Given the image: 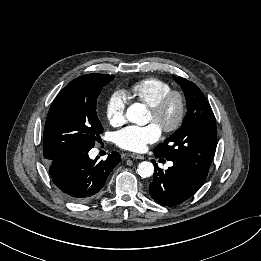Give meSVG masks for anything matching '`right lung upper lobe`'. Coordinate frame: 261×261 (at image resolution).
<instances>
[{"mask_svg":"<svg viewBox=\"0 0 261 261\" xmlns=\"http://www.w3.org/2000/svg\"><path fill=\"white\" fill-rule=\"evenodd\" d=\"M59 160H61V159H54V160H51L50 162H51V164H53L55 162H58Z\"/></svg>","mask_w":261,"mask_h":261,"instance_id":"right-lung-upper-lobe-1","label":"right lung upper lobe"}]
</instances>
